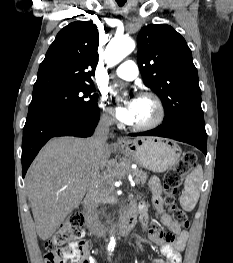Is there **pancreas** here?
Wrapping results in <instances>:
<instances>
[{"instance_id": "pancreas-1", "label": "pancreas", "mask_w": 233, "mask_h": 263, "mask_svg": "<svg viewBox=\"0 0 233 263\" xmlns=\"http://www.w3.org/2000/svg\"><path fill=\"white\" fill-rule=\"evenodd\" d=\"M132 176L136 182V184H144L148 178L147 172L143 170H133Z\"/></svg>"}]
</instances>
